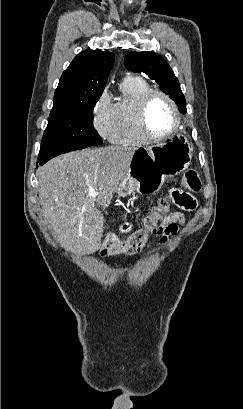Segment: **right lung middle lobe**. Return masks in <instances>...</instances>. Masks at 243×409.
Masks as SVG:
<instances>
[{
    "instance_id": "right-lung-middle-lobe-1",
    "label": "right lung middle lobe",
    "mask_w": 243,
    "mask_h": 409,
    "mask_svg": "<svg viewBox=\"0 0 243 409\" xmlns=\"http://www.w3.org/2000/svg\"><path fill=\"white\" fill-rule=\"evenodd\" d=\"M89 103H54L41 146H93L102 143L93 127V108Z\"/></svg>"
}]
</instances>
